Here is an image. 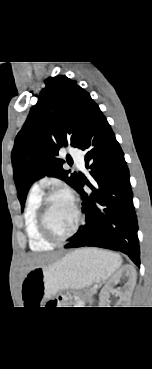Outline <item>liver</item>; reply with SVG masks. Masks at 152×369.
<instances>
[{"label": "liver", "mask_w": 152, "mask_h": 369, "mask_svg": "<svg viewBox=\"0 0 152 369\" xmlns=\"http://www.w3.org/2000/svg\"><path fill=\"white\" fill-rule=\"evenodd\" d=\"M54 259L51 255H30L26 258V270H32L35 267L43 266Z\"/></svg>", "instance_id": "6515ba94"}]
</instances>
